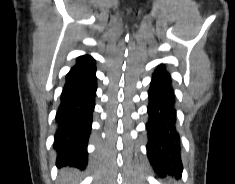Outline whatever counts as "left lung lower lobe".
Here are the masks:
<instances>
[{
  "label": "left lung lower lobe",
  "instance_id": "obj_1",
  "mask_svg": "<svg viewBox=\"0 0 235 184\" xmlns=\"http://www.w3.org/2000/svg\"><path fill=\"white\" fill-rule=\"evenodd\" d=\"M149 89L147 154L155 172L181 177L183 166L179 154V135L175 128L176 114L170 75L160 65L152 75Z\"/></svg>",
  "mask_w": 235,
  "mask_h": 184
}]
</instances>
